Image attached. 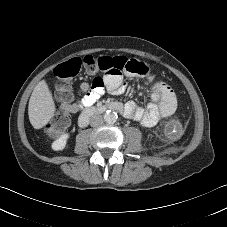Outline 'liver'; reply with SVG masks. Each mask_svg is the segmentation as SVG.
<instances>
[{
    "label": "liver",
    "mask_w": 227,
    "mask_h": 227,
    "mask_svg": "<svg viewBox=\"0 0 227 227\" xmlns=\"http://www.w3.org/2000/svg\"><path fill=\"white\" fill-rule=\"evenodd\" d=\"M55 104L45 80H41L34 88L28 105V115L35 129L44 127L54 116Z\"/></svg>",
    "instance_id": "obj_1"
}]
</instances>
